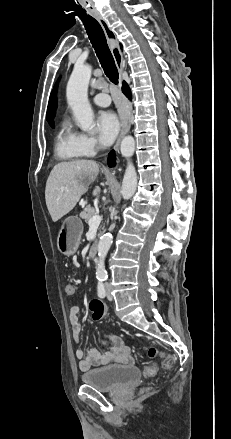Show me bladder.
<instances>
[{"label":"bladder","instance_id":"bladder-1","mask_svg":"<svg viewBox=\"0 0 231 439\" xmlns=\"http://www.w3.org/2000/svg\"><path fill=\"white\" fill-rule=\"evenodd\" d=\"M140 371L132 365H112L87 371L82 374L84 384L104 391H115L134 382Z\"/></svg>","mask_w":231,"mask_h":439}]
</instances>
